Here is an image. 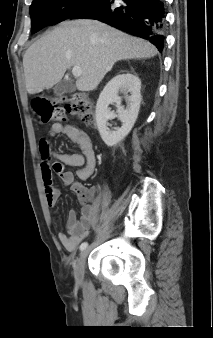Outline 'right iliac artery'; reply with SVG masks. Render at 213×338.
I'll return each instance as SVG.
<instances>
[{
	"instance_id": "82829eb1",
	"label": "right iliac artery",
	"mask_w": 213,
	"mask_h": 338,
	"mask_svg": "<svg viewBox=\"0 0 213 338\" xmlns=\"http://www.w3.org/2000/svg\"><path fill=\"white\" fill-rule=\"evenodd\" d=\"M88 246V243L87 242H83L81 245H80V251H83L87 248Z\"/></svg>"
}]
</instances>
